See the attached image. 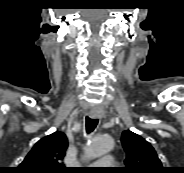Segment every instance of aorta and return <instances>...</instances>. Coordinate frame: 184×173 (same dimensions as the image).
Instances as JSON below:
<instances>
[{
  "mask_svg": "<svg viewBox=\"0 0 184 173\" xmlns=\"http://www.w3.org/2000/svg\"><path fill=\"white\" fill-rule=\"evenodd\" d=\"M114 143L110 136H95L85 147V156L88 159L100 157L113 149Z\"/></svg>",
  "mask_w": 184,
  "mask_h": 173,
  "instance_id": "762f6f07",
  "label": "aorta"
}]
</instances>
